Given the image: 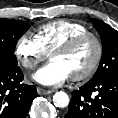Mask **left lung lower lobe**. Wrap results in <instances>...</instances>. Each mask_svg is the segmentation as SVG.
<instances>
[{"instance_id":"0a47b994","label":"left lung lower lobe","mask_w":118,"mask_h":118,"mask_svg":"<svg viewBox=\"0 0 118 118\" xmlns=\"http://www.w3.org/2000/svg\"><path fill=\"white\" fill-rule=\"evenodd\" d=\"M65 118H118V74L73 91Z\"/></svg>"}]
</instances>
